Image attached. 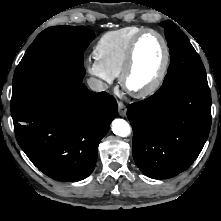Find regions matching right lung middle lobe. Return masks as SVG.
<instances>
[{
	"instance_id": "right-lung-middle-lobe-1",
	"label": "right lung middle lobe",
	"mask_w": 221,
	"mask_h": 221,
	"mask_svg": "<svg viewBox=\"0 0 221 221\" xmlns=\"http://www.w3.org/2000/svg\"><path fill=\"white\" fill-rule=\"evenodd\" d=\"M94 38L84 26H55L42 31L15 70L11 112L62 87L66 74L84 76L83 53Z\"/></svg>"
}]
</instances>
